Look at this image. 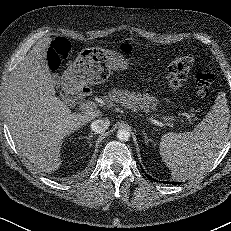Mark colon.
I'll list each match as a JSON object with an SVG mask.
<instances>
[{"mask_svg":"<svg viewBox=\"0 0 231 231\" xmlns=\"http://www.w3.org/2000/svg\"><path fill=\"white\" fill-rule=\"evenodd\" d=\"M120 51L124 54H130L132 47L122 45ZM71 52L70 43L62 37L55 39L51 47L47 51V63L50 69L57 70L64 60H66ZM194 64V57L190 54L181 55L175 58L169 65L167 70V79L171 88L180 87L182 81L189 73ZM193 85L195 92L199 97H208L215 86V79L212 74L197 72L193 76Z\"/></svg>","mask_w":231,"mask_h":231,"instance_id":"colon-1","label":"colon"}]
</instances>
